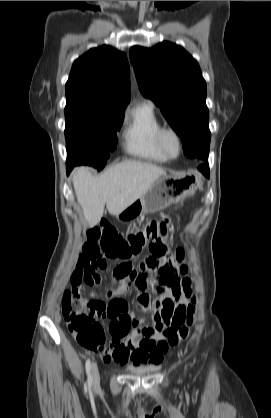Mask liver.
I'll use <instances>...</instances> for the list:
<instances>
[{"label": "liver", "mask_w": 271, "mask_h": 418, "mask_svg": "<svg viewBox=\"0 0 271 418\" xmlns=\"http://www.w3.org/2000/svg\"><path fill=\"white\" fill-rule=\"evenodd\" d=\"M166 175L162 168L145 162L125 160L100 176L81 166L73 171V186L89 227L103 217L104 206L117 216L142 197L156 179Z\"/></svg>", "instance_id": "liver-1"}]
</instances>
